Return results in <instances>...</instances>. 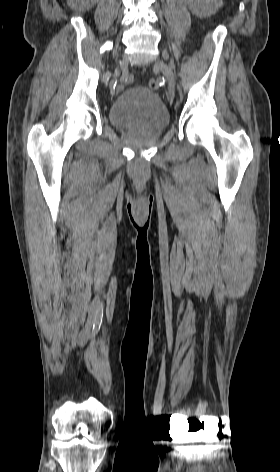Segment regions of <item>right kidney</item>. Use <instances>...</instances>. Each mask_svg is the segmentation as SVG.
<instances>
[{
  "instance_id": "obj_1",
  "label": "right kidney",
  "mask_w": 280,
  "mask_h": 472,
  "mask_svg": "<svg viewBox=\"0 0 280 472\" xmlns=\"http://www.w3.org/2000/svg\"><path fill=\"white\" fill-rule=\"evenodd\" d=\"M78 2H80V6L83 9L89 10L98 2V0H78Z\"/></svg>"
}]
</instances>
